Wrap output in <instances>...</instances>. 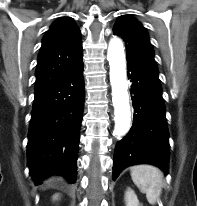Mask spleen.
I'll return each instance as SVG.
<instances>
[{
  "label": "spleen",
  "mask_w": 197,
  "mask_h": 206,
  "mask_svg": "<svg viewBox=\"0 0 197 206\" xmlns=\"http://www.w3.org/2000/svg\"><path fill=\"white\" fill-rule=\"evenodd\" d=\"M131 178L147 201L154 205L161 195L163 187L162 172L152 165H136L131 168Z\"/></svg>",
  "instance_id": "3e777b00"
}]
</instances>
